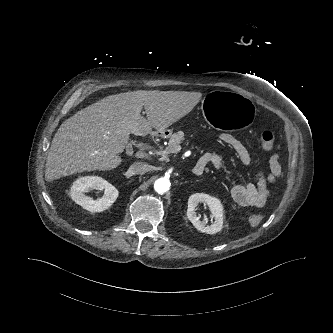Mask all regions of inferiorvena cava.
Segmentation results:
<instances>
[{"label": "inferior vena cava", "instance_id": "1", "mask_svg": "<svg viewBox=\"0 0 333 333\" xmlns=\"http://www.w3.org/2000/svg\"><path fill=\"white\" fill-rule=\"evenodd\" d=\"M150 169V166L147 163L144 162H134L131 166H130V171L133 174H143L148 172Z\"/></svg>", "mask_w": 333, "mask_h": 333}]
</instances>
